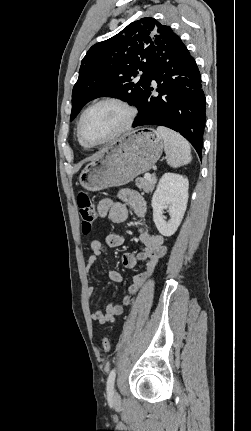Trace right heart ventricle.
I'll return each instance as SVG.
<instances>
[{
	"instance_id": "e07e8e85",
	"label": "right heart ventricle",
	"mask_w": 251,
	"mask_h": 431,
	"mask_svg": "<svg viewBox=\"0 0 251 431\" xmlns=\"http://www.w3.org/2000/svg\"><path fill=\"white\" fill-rule=\"evenodd\" d=\"M79 142H80V140H79ZM80 144H81V146H82V147H84V148L86 147V146H84L81 142H80Z\"/></svg>"
}]
</instances>
